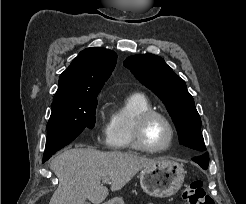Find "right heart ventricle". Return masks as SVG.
I'll list each match as a JSON object with an SVG mask.
<instances>
[{"label": "right heart ventricle", "mask_w": 246, "mask_h": 204, "mask_svg": "<svg viewBox=\"0 0 246 204\" xmlns=\"http://www.w3.org/2000/svg\"><path fill=\"white\" fill-rule=\"evenodd\" d=\"M152 109L150 100L141 93L128 96L115 107L105 130V144L112 150H133V128L138 116Z\"/></svg>", "instance_id": "right-heart-ventricle-1"}]
</instances>
